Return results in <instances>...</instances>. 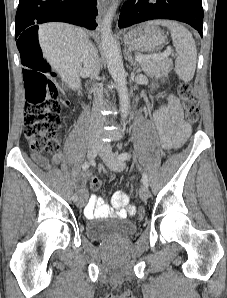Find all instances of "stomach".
Masks as SVG:
<instances>
[{"instance_id": "0dacf381", "label": "stomach", "mask_w": 227, "mask_h": 298, "mask_svg": "<svg viewBox=\"0 0 227 298\" xmlns=\"http://www.w3.org/2000/svg\"><path fill=\"white\" fill-rule=\"evenodd\" d=\"M166 38L164 32L152 22L141 24L124 34L125 44L146 53L159 51Z\"/></svg>"}]
</instances>
